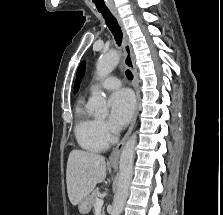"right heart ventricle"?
I'll use <instances>...</instances> for the list:
<instances>
[{
    "label": "right heart ventricle",
    "mask_w": 223,
    "mask_h": 215,
    "mask_svg": "<svg viewBox=\"0 0 223 215\" xmlns=\"http://www.w3.org/2000/svg\"><path fill=\"white\" fill-rule=\"evenodd\" d=\"M74 135L78 144L89 152H102L108 148V139L101 134L98 120L83 105L76 108Z\"/></svg>",
    "instance_id": "right-heart-ventricle-1"
}]
</instances>
